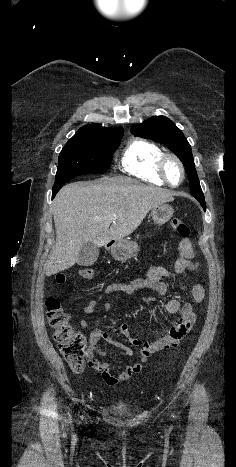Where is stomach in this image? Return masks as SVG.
<instances>
[{
	"mask_svg": "<svg viewBox=\"0 0 236 467\" xmlns=\"http://www.w3.org/2000/svg\"><path fill=\"white\" fill-rule=\"evenodd\" d=\"M173 213L174 210L169 204L161 203L152 208L151 216L157 225H163L172 218ZM110 250L114 259L127 261L138 254L139 246L136 242L121 240L114 242Z\"/></svg>",
	"mask_w": 236,
	"mask_h": 467,
	"instance_id": "obj_1",
	"label": "stomach"
}]
</instances>
